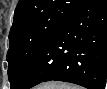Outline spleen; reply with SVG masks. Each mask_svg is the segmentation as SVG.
<instances>
[{"instance_id": "spleen-1", "label": "spleen", "mask_w": 107, "mask_h": 89, "mask_svg": "<svg viewBox=\"0 0 107 89\" xmlns=\"http://www.w3.org/2000/svg\"><path fill=\"white\" fill-rule=\"evenodd\" d=\"M56 89H80V88L77 86H71L67 84H59L57 85Z\"/></svg>"}]
</instances>
